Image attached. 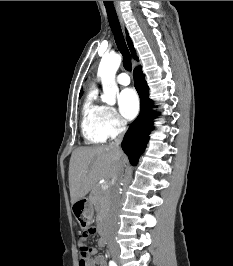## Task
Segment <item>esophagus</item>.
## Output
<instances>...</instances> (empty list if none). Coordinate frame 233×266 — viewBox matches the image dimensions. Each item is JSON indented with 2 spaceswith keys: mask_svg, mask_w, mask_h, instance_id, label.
<instances>
[{
  "mask_svg": "<svg viewBox=\"0 0 233 266\" xmlns=\"http://www.w3.org/2000/svg\"><path fill=\"white\" fill-rule=\"evenodd\" d=\"M114 4H115V9H116L120 24H121L122 29L124 31V21H123L122 12H121V9H120L119 2L118 1H114Z\"/></svg>",
  "mask_w": 233,
  "mask_h": 266,
  "instance_id": "34e87169",
  "label": "esophagus"
}]
</instances>
